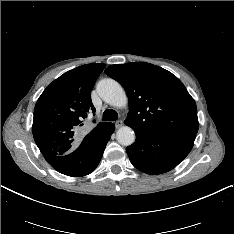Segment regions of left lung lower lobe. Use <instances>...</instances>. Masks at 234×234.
<instances>
[{
    "instance_id": "obj_1",
    "label": "left lung lower lobe",
    "mask_w": 234,
    "mask_h": 234,
    "mask_svg": "<svg viewBox=\"0 0 234 234\" xmlns=\"http://www.w3.org/2000/svg\"><path fill=\"white\" fill-rule=\"evenodd\" d=\"M133 130L136 141L126 149L129 159L140 171L154 175L176 167L189 154L196 138L194 133Z\"/></svg>"
}]
</instances>
